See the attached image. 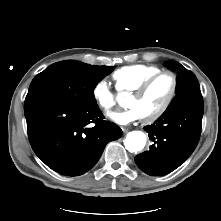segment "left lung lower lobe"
<instances>
[{
  "mask_svg": "<svg viewBox=\"0 0 221 221\" xmlns=\"http://www.w3.org/2000/svg\"><path fill=\"white\" fill-rule=\"evenodd\" d=\"M203 98L194 94L144 129L154 142L150 150L138 154L135 162L148 175L169 174L183 164L195 150L202 125Z\"/></svg>",
  "mask_w": 221,
  "mask_h": 221,
  "instance_id": "0a47b994",
  "label": "left lung lower lobe"
}]
</instances>
